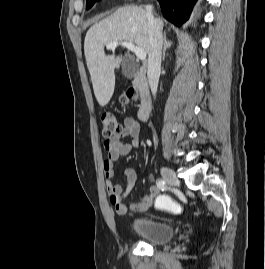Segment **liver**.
<instances>
[{"mask_svg":"<svg viewBox=\"0 0 265 269\" xmlns=\"http://www.w3.org/2000/svg\"><path fill=\"white\" fill-rule=\"evenodd\" d=\"M160 28L163 21L156 18ZM115 41H127L150 53V37L146 11L138 6H124L113 14L95 23L87 31L84 53L91 76L95 97L100 106L110 101L115 87V69L122 56H106L104 47Z\"/></svg>","mask_w":265,"mask_h":269,"instance_id":"6515ba94","label":"liver"}]
</instances>
